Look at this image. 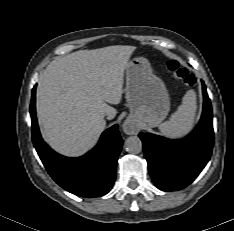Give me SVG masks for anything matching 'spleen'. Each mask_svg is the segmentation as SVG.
Returning a JSON list of instances; mask_svg holds the SVG:
<instances>
[{
  "label": "spleen",
  "mask_w": 234,
  "mask_h": 231,
  "mask_svg": "<svg viewBox=\"0 0 234 231\" xmlns=\"http://www.w3.org/2000/svg\"><path fill=\"white\" fill-rule=\"evenodd\" d=\"M196 110V93L194 90H189L170 120L159 126L161 134L171 139L182 138L188 134L194 126Z\"/></svg>",
  "instance_id": "spleen-1"
}]
</instances>
